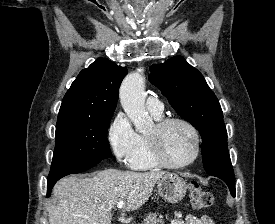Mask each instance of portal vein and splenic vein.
<instances>
[{"mask_svg":"<svg viewBox=\"0 0 275 224\" xmlns=\"http://www.w3.org/2000/svg\"><path fill=\"white\" fill-rule=\"evenodd\" d=\"M125 203L124 201H120L118 204H117V208L118 209H122L124 207Z\"/></svg>","mask_w":275,"mask_h":224,"instance_id":"18ae733b","label":"portal vein and splenic vein"}]
</instances>
